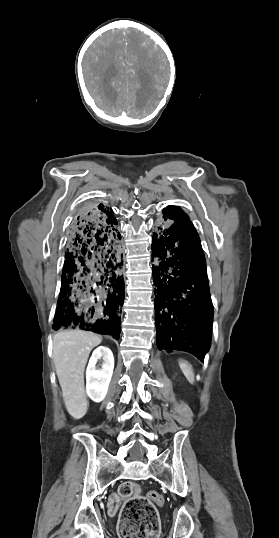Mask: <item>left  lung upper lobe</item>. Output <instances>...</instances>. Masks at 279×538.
Listing matches in <instances>:
<instances>
[{"instance_id": "left-lung-upper-lobe-1", "label": "left lung upper lobe", "mask_w": 279, "mask_h": 538, "mask_svg": "<svg viewBox=\"0 0 279 538\" xmlns=\"http://www.w3.org/2000/svg\"><path fill=\"white\" fill-rule=\"evenodd\" d=\"M165 221H174L175 219H188V216L178 207L176 206H168L166 209L163 210Z\"/></svg>"}]
</instances>
